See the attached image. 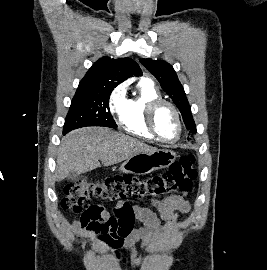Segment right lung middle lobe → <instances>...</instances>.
I'll return each instance as SVG.
<instances>
[{
  "instance_id": "dd1d6c3e",
  "label": "right lung middle lobe",
  "mask_w": 267,
  "mask_h": 270,
  "mask_svg": "<svg viewBox=\"0 0 267 270\" xmlns=\"http://www.w3.org/2000/svg\"><path fill=\"white\" fill-rule=\"evenodd\" d=\"M114 88H78L71 102L63 134L85 126L117 128L109 109V97Z\"/></svg>"
}]
</instances>
